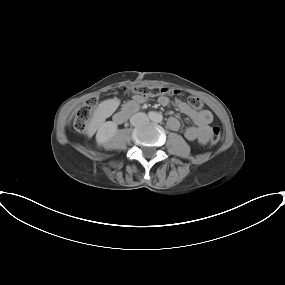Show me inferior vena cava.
<instances>
[{
    "label": "inferior vena cava",
    "instance_id": "obj_1",
    "mask_svg": "<svg viewBox=\"0 0 285 285\" xmlns=\"http://www.w3.org/2000/svg\"><path fill=\"white\" fill-rule=\"evenodd\" d=\"M148 121H149L148 116L145 113H141V112L134 114L130 119V123L133 126H138Z\"/></svg>",
    "mask_w": 285,
    "mask_h": 285
}]
</instances>
